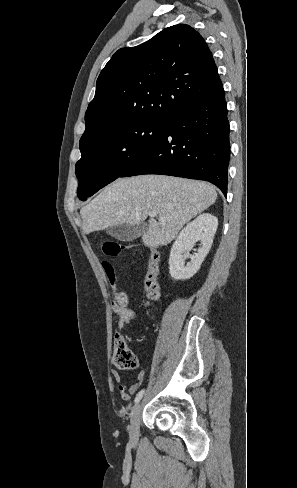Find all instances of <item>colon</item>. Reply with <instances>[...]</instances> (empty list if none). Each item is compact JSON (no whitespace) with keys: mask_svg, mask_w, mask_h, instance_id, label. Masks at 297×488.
Listing matches in <instances>:
<instances>
[{"mask_svg":"<svg viewBox=\"0 0 297 488\" xmlns=\"http://www.w3.org/2000/svg\"><path fill=\"white\" fill-rule=\"evenodd\" d=\"M127 248H129V246L113 241H106L105 243H103V252L110 257L118 255L122 250ZM103 268L108 279L113 283L115 280V269L113 265L107 261H104ZM157 273L158 253L154 249H150L148 269L144 281V288L146 291V306H150L159 298ZM126 302L127 298L124 293H118L116 295L114 300V306L116 311L121 313L122 315L127 312ZM113 362L118 368L123 370H132L135 369L137 366V360L134 354L131 352L125 340L120 335H116L115 337Z\"/></svg>","mask_w":297,"mask_h":488,"instance_id":"5ec220e1","label":"colon"}]
</instances>
